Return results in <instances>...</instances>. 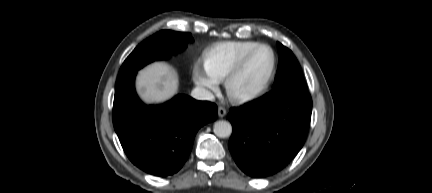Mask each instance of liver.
I'll return each instance as SVG.
<instances>
[{
	"label": "liver",
	"instance_id": "6515ba94",
	"mask_svg": "<svg viewBox=\"0 0 432 193\" xmlns=\"http://www.w3.org/2000/svg\"><path fill=\"white\" fill-rule=\"evenodd\" d=\"M137 87L146 102L162 103L177 92L178 76L172 66L164 62H154L139 71Z\"/></svg>",
	"mask_w": 432,
	"mask_h": 193
}]
</instances>
